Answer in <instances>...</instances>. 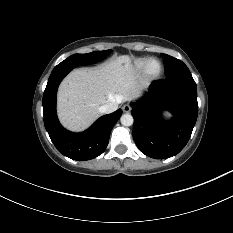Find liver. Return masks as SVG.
<instances>
[{
  "label": "liver",
  "instance_id": "obj_1",
  "mask_svg": "<svg viewBox=\"0 0 233 233\" xmlns=\"http://www.w3.org/2000/svg\"><path fill=\"white\" fill-rule=\"evenodd\" d=\"M141 89L127 55L95 68L75 69L59 87V119L67 129L82 131L100 116L101 106L130 100Z\"/></svg>",
  "mask_w": 233,
  "mask_h": 233
}]
</instances>
